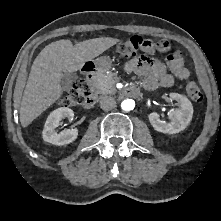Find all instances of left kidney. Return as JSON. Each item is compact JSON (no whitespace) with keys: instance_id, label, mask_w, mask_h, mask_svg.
I'll list each match as a JSON object with an SVG mask.
<instances>
[{"instance_id":"left-kidney-1","label":"left kidney","mask_w":221,"mask_h":221,"mask_svg":"<svg viewBox=\"0 0 221 221\" xmlns=\"http://www.w3.org/2000/svg\"><path fill=\"white\" fill-rule=\"evenodd\" d=\"M170 97L176 100L180 105V109H172L169 111L168 116L170 123H165L160 120L157 113L149 114V121L156 131L175 134L183 131L190 123L193 115V106L185 96L178 93H172Z\"/></svg>"}]
</instances>
